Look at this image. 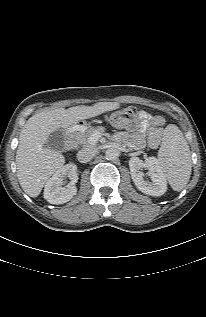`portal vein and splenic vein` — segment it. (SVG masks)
<instances>
[{
	"label": "portal vein and splenic vein",
	"instance_id": "1",
	"mask_svg": "<svg viewBox=\"0 0 206 317\" xmlns=\"http://www.w3.org/2000/svg\"><path fill=\"white\" fill-rule=\"evenodd\" d=\"M99 137H100V136L98 135V133H95V134H93V135L91 136L90 141H91L92 143H96V142L98 141Z\"/></svg>",
	"mask_w": 206,
	"mask_h": 317
}]
</instances>
